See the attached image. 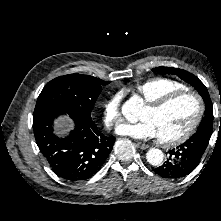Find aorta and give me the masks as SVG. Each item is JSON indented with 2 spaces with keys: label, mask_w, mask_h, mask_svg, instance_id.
I'll return each instance as SVG.
<instances>
[{
  "label": "aorta",
  "mask_w": 221,
  "mask_h": 221,
  "mask_svg": "<svg viewBox=\"0 0 221 221\" xmlns=\"http://www.w3.org/2000/svg\"><path fill=\"white\" fill-rule=\"evenodd\" d=\"M139 104L136 101L129 100L122 107V113L129 121H133L139 110ZM147 161L153 166H159L162 164L164 154L160 149L151 148L146 153Z\"/></svg>",
  "instance_id": "obj_1"
}]
</instances>
